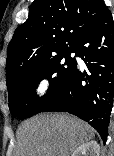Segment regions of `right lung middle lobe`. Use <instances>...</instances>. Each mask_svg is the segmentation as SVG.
<instances>
[{
    "label": "right lung middle lobe",
    "instance_id": "obj_1",
    "mask_svg": "<svg viewBox=\"0 0 114 156\" xmlns=\"http://www.w3.org/2000/svg\"><path fill=\"white\" fill-rule=\"evenodd\" d=\"M73 49L45 60L19 76L8 87L9 109L12 115L20 119L31 117L49 107L64 90L74 69L75 58L70 56ZM49 80L48 92L41 98L36 88L42 79Z\"/></svg>",
    "mask_w": 114,
    "mask_h": 156
}]
</instances>
